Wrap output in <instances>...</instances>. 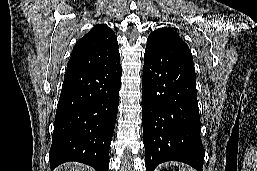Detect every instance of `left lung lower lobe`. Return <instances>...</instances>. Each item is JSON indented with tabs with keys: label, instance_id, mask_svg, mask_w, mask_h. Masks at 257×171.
I'll list each match as a JSON object with an SVG mask.
<instances>
[{
	"label": "left lung lower lobe",
	"instance_id": "left-lung-lower-lobe-1",
	"mask_svg": "<svg viewBox=\"0 0 257 171\" xmlns=\"http://www.w3.org/2000/svg\"><path fill=\"white\" fill-rule=\"evenodd\" d=\"M142 121L147 171L166 161L202 171L205 150L193 60L170 51H145Z\"/></svg>",
	"mask_w": 257,
	"mask_h": 171
}]
</instances>
